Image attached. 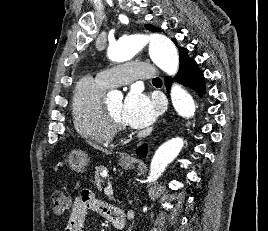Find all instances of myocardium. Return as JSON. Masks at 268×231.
Listing matches in <instances>:
<instances>
[{
  "label": "myocardium",
  "mask_w": 268,
  "mask_h": 231,
  "mask_svg": "<svg viewBox=\"0 0 268 231\" xmlns=\"http://www.w3.org/2000/svg\"><path fill=\"white\" fill-rule=\"evenodd\" d=\"M106 116L109 120L110 125L114 129L115 132L119 133H129L130 129L123 124L118 118H116L108 108H105Z\"/></svg>",
  "instance_id": "1"
}]
</instances>
